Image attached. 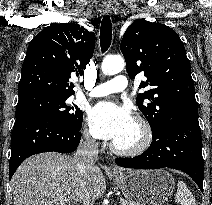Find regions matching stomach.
I'll return each instance as SVG.
<instances>
[{
	"mask_svg": "<svg viewBox=\"0 0 212 205\" xmlns=\"http://www.w3.org/2000/svg\"><path fill=\"white\" fill-rule=\"evenodd\" d=\"M112 178L133 205H162L175 186L174 178L165 170H130Z\"/></svg>",
	"mask_w": 212,
	"mask_h": 205,
	"instance_id": "stomach-1",
	"label": "stomach"
}]
</instances>
